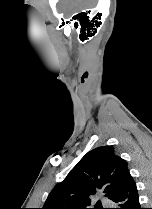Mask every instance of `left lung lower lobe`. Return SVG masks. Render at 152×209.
<instances>
[{"mask_svg":"<svg viewBox=\"0 0 152 209\" xmlns=\"http://www.w3.org/2000/svg\"><path fill=\"white\" fill-rule=\"evenodd\" d=\"M112 201L115 203V209H141L136 183L132 176L128 178L122 190Z\"/></svg>","mask_w":152,"mask_h":209,"instance_id":"obj_1","label":"left lung lower lobe"}]
</instances>
